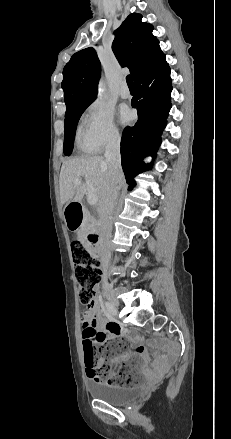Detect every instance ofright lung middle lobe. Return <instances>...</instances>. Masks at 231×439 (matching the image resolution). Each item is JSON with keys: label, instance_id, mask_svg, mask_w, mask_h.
<instances>
[{"label": "right lung middle lobe", "instance_id": "1", "mask_svg": "<svg viewBox=\"0 0 231 439\" xmlns=\"http://www.w3.org/2000/svg\"><path fill=\"white\" fill-rule=\"evenodd\" d=\"M91 103H85L66 110L63 152L67 156H70L73 150L75 131L79 118Z\"/></svg>", "mask_w": 231, "mask_h": 439}]
</instances>
